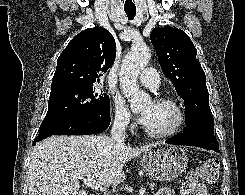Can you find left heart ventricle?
<instances>
[{
    "label": "left heart ventricle",
    "mask_w": 245,
    "mask_h": 195,
    "mask_svg": "<svg viewBox=\"0 0 245 195\" xmlns=\"http://www.w3.org/2000/svg\"><path fill=\"white\" fill-rule=\"evenodd\" d=\"M146 110H150V114L144 125L152 132L168 131L178 119L177 111L169 105L150 103L142 108V112Z\"/></svg>",
    "instance_id": "left-heart-ventricle-1"
}]
</instances>
